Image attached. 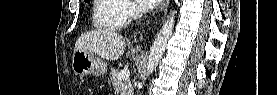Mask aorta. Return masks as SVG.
Returning a JSON list of instances; mask_svg holds the SVG:
<instances>
[{
    "mask_svg": "<svg viewBox=\"0 0 277 95\" xmlns=\"http://www.w3.org/2000/svg\"><path fill=\"white\" fill-rule=\"evenodd\" d=\"M175 22V14L172 12L170 16H168L167 20L161 27L160 31L158 32L148 55V61L146 64V72L147 75L153 73L156 69L163 53L166 50L167 42L170 39Z\"/></svg>",
    "mask_w": 277,
    "mask_h": 95,
    "instance_id": "aorta-1",
    "label": "aorta"
}]
</instances>
